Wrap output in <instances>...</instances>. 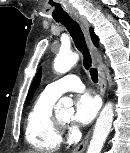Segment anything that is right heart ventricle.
Returning a JSON list of instances; mask_svg holds the SVG:
<instances>
[{
  "instance_id": "right-heart-ventricle-1",
  "label": "right heart ventricle",
  "mask_w": 130,
  "mask_h": 153,
  "mask_svg": "<svg viewBox=\"0 0 130 153\" xmlns=\"http://www.w3.org/2000/svg\"><path fill=\"white\" fill-rule=\"evenodd\" d=\"M57 100L45 90L33 103L25 122L27 143L39 152H54L61 144V129L55 122L53 107Z\"/></svg>"
}]
</instances>
